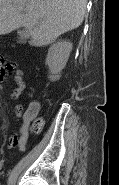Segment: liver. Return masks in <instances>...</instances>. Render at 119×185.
<instances>
[{"mask_svg":"<svg viewBox=\"0 0 119 185\" xmlns=\"http://www.w3.org/2000/svg\"><path fill=\"white\" fill-rule=\"evenodd\" d=\"M87 0H0V35L24 27L31 44L46 46L78 28Z\"/></svg>","mask_w":119,"mask_h":185,"instance_id":"obj_1","label":"liver"}]
</instances>
